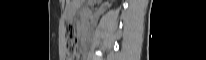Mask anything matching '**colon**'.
Wrapping results in <instances>:
<instances>
[{"label":"colon","mask_w":206,"mask_h":60,"mask_svg":"<svg viewBox=\"0 0 206 60\" xmlns=\"http://www.w3.org/2000/svg\"><path fill=\"white\" fill-rule=\"evenodd\" d=\"M67 60H73L76 49V39L73 25L69 24L66 28Z\"/></svg>","instance_id":"colon-1"}]
</instances>
